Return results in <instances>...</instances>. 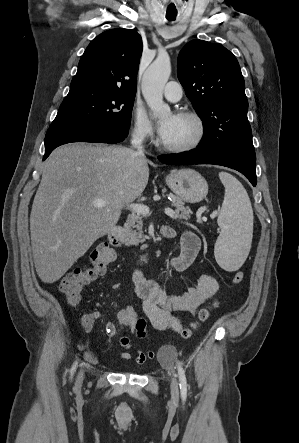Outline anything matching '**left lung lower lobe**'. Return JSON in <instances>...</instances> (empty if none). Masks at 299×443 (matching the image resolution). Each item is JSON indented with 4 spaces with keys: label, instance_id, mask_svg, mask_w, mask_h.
I'll return each instance as SVG.
<instances>
[{
    "label": "left lung lower lobe",
    "instance_id": "0a47b994",
    "mask_svg": "<svg viewBox=\"0 0 299 443\" xmlns=\"http://www.w3.org/2000/svg\"><path fill=\"white\" fill-rule=\"evenodd\" d=\"M159 161L172 165L215 164L235 169L256 186V156L254 151L212 153L198 148L179 154L158 156Z\"/></svg>",
    "mask_w": 299,
    "mask_h": 443
}]
</instances>
